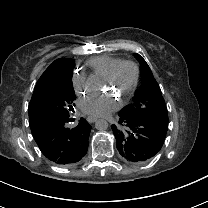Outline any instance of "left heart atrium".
Listing matches in <instances>:
<instances>
[{
  "label": "left heart atrium",
  "mask_w": 208,
  "mask_h": 208,
  "mask_svg": "<svg viewBox=\"0 0 208 208\" xmlns=\"http://www.w3.org/2000/svg\"><path fill=\"white\" fill-rule=\"evenodd\" d=\"M81 110L92 116H106L115 109V105L109 101L89 96L80 101Z\"/></svg>",
  "instance_id": "39dd6f15"
}]
</instances>
